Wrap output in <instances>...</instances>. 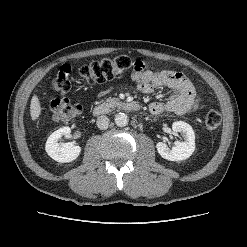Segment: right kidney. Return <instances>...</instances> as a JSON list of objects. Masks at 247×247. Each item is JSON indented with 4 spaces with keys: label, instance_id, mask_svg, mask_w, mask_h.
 <instances>
[{
    "label": "right kidney",
    "instance_id": "obj_1",
    "mask_svg": "<svg viewBox=\"0 0 247 247\" xmlns=\"http://www.w3.org/2000/svg\"><path fill=\"white\" fill-rule=\"evenodd\" d=\"M70 132L71 129L69 127H62L53 132L46 142L45 150L47 154L57 162H71L77 159V157L80 155V146L75 145L72 142H68L62 145L58 143L59 138H61L63 135L69 134Z\"/></svg>",
    "mask_w": 247,
    "mask_h": 247
}]
</instances>
